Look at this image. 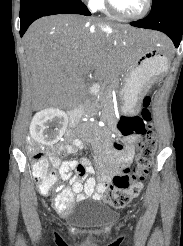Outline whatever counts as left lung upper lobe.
Wrapping results in <instances>:
<instances>
[{
    "label": "left lung upper lobe",
    "instance_id": "5c2ea615",
    "mask_svg": "<svg viewBox=\"0 0 183 246\" xmlns=\"http://www.w3.org/2000/svg\"><path fill=\"white\" fill-rule=\"evenodd\" d=\"M161 0H153L152 6L155 5L156 3H158Z\"/></svg>",
    "mask_w": 183,
    "mask_h": 246
}]
</instances>
